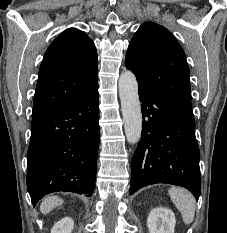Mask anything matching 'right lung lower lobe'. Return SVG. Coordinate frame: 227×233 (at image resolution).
<instances>
[{
    "instance_id": "1",
    "label": "right lung lower lobe",
    "mask_w": 227,
    "mask_h": 233,
    "mask_svg": "<svg viewBox=\"0 0 227 233\" xmlns=\"http://www.w3.org/2000/svg\"><path fill=\"white\" fill-rule=\"evenodd\" d=\"M98 102L96 85L32 119L27 189L34 206L52 192L93 194L100 139Z\"/></svg>"
}]
</instances>
